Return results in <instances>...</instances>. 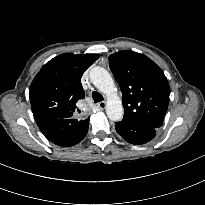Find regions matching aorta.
I'll use <instances>...</instances> for the list:
<instances>
[{"label":"aorta","instance_id":"obj_1","mask_svg":"<svg viewBox=\"0 0 205 205\" xmlns=\"http://www.w3.org/2000/svg\"><path fill=\"white\" fill-rule=\"evenodd\" d=\"M90 80L93 85L107 97L106 114L112 121H119L123 117L122 102L116 93V87L110 73L99 66L90 70Z\"/></svg>","mask_w":205,"mask_h":205}]
</instances>
